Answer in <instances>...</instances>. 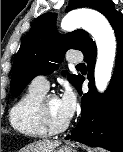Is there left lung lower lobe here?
<instances>
[{
    "label": "left lung lower lobe",
    "mask_w": 123,
    "mask_h": 152,
    "mask_svg": "<svg viewBox=\"0 0 123 152\" xmlns=\"http://www.w3.org/2000/svg\"><path fill=\"white\" fill-rule=\"evenodd\" d=\"M123 14L117 11L107 16L117 38V58L114 74L107 91L99 94L94 85V65L97 55L92 42L82 53L88 66L89 92L82 97V116L66 139L89 146L102 147L112 152H123ZM81 76L76 86L82 94Z\"/></svg>",
    "instance_id": "0a47b994"
}]
</instances>
